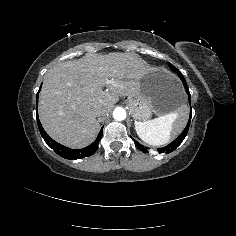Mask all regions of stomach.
Instances as JSON below:
<instances>
[{
    "label": "stomach",
    "mask_w": 236,
    "mask_h": 236,
    "mask_svg": "<svg viewBox=\"0 0 236 236\" xmlns=\"http://www.w3.org/2000/svg\"><path fill=\"white\" fill-rule=\"evenodd\" d=\"M185 94L176 77L162 69L149 70L139 82L138 95L126 103L134 120L145 121L152 114L166 116L185 102Z\"/></svg>",
    "instance_id": "0dacf381"
}]
</instances>
